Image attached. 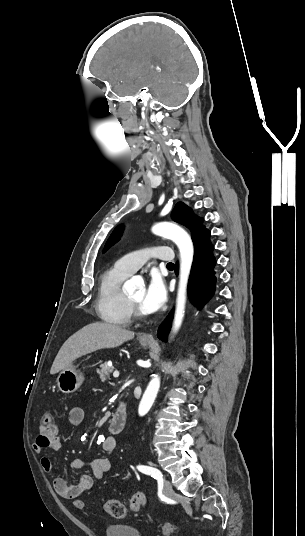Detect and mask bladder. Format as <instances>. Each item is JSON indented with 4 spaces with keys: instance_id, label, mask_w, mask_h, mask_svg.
Returning <instances> with one entry per match:
<instances>
[{
    "instance_id": "1",
    "label": "bladder",
    "mask_w": 305,
    "mask_h": 536,
    "mask_svg": "<svg viewBox=\"0 0 305 536\" xmlns=\"http://www.w3.org/2000/svg\"><path fill=\"white\" fill-rule=\"evenodd\" d=\"M102 533L103 536H143L138 528L124 521L106 523Z\"/></svg>"
}]
</instances>
